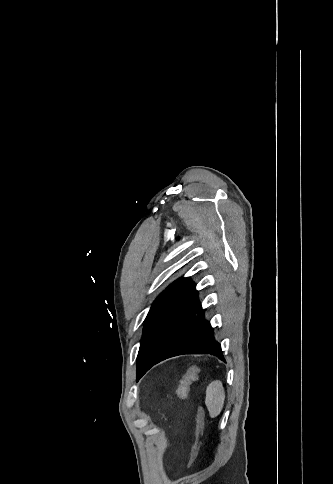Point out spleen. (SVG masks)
Returning <instances> with one entry per match:
<instances>
[{"label": "spleen", "instance_id": "1", "mask_svg": "<svg viewBox=\"0 0 333 484\" xmlns=\"http://www.w3.org/2000/svg\"><path fill=\"white\" fill-rule=\"evenodd\" d=\"M225 401V392L221 381H213L206 388L205 405L212 418L220 415Z\"/></svg>", "mask_w": 333, "mask_h": 484}]
</instances>
